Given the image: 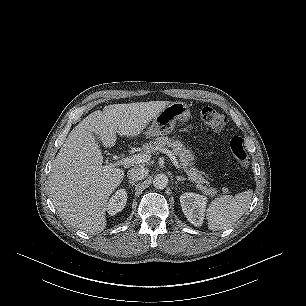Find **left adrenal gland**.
I'll list each match as a JSON object with an SVG mask.
<instances>
[{
    "label": "left adrenal gland",
    "instance_id": "obj_1",
    "mask_svg": "<svg viewBox=\"0 0 306 306\" xmlns=\"http://www.w3.org/2000/svg\"><path fill=\"white\" fill-rule=\"evenodd\" d=\"M175 178H176L177 181H184V180H186V179H185L184 177H182V176H176Z\"/></svg>",
    "mask_w": 306,
    "mask_h": 306
}]
</instances>
